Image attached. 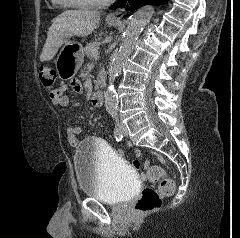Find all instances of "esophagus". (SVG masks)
<instances>
[{
    "label": "esophagus",
    "instance_id": "1",
    "mask_svg": "<svg viewBox=\"0 0 240 238\" xmlns=\"http://www.w3.org/2000/svg\"><path fill=\"white\" fill-rule=\"evenodd\" d=\"M126 13V8L121 7L115 10L114 12L107 15V19L109 20H120Z\"/></svg>",
    "mask_w": 240,
    "mask_h": 238
}]
</instances>
